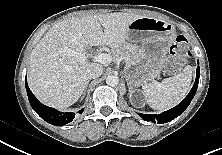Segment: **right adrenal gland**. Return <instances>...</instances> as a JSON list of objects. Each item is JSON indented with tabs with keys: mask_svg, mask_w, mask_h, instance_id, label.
<instances>
[{
	"mask_svg": "<svg viewBox=\"0 0 222 155\" xmlns=\"http://www.w3.org/2000/svg\"><path fill=\"white\" fill-rule=\"evenodd\" d=\"M88 84H89V81H87V83H86V86H85V90H84V93H83L82 99H83V97H84V95H85L86 88H87Z\"/></svg>",
	"mask_w": 222,
	"mask_h": 155,
	"instance_id": "1",
	"label": "right adrenal gland"
}]
</instances>
